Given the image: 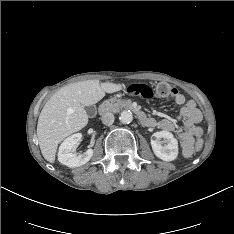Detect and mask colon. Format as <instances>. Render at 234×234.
<instances>
[{
	"mask_svg": "<svg viewBox=\"0 0 234 234\" xmlns=\"http://www.w3.org/2000/svg\"><path fill=\"white\" fill-rule=\"evenodd\" d=\"M126 91L133 95H139L146 99H151L153 97H170L173 95V89L166 83L158 84L155 89H153L147 83H133L130 84ZM202 146L201 142L198 141L195 144V149H200Z\"/></svg>",
	"mask_w": 234,
	"mask_h": 234,
	"instance_id": "obj_1",
	"label": "colon"
}]
</instances>
